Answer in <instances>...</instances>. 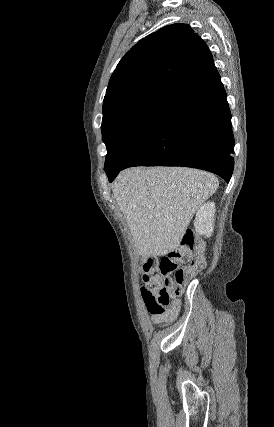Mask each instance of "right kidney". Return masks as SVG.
<instances>
[{"instance_id": "ca27d5eb", "label": "right kidney", "mask_w": 274, "mask_h": 427, "mask_svg": "<svg viewBox=\"0 0 274 427\" xmlns=\"http://www.w3.org/2000/svg\"><path fill=\"white\" fill-rule=\"evenodd\" d=\"M215 204L206 202L200 206L194 219V227L197 233L204 237H211L214 227Z\"/></svg>"}]
</instances>
